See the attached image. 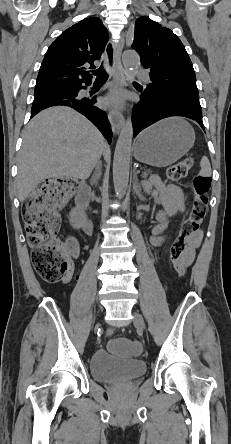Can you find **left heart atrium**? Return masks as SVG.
Segmentation results:
<instances>
[{"label": "left heart atrium", "instance_id": "39dd6f15", "mask_svg": "<svg viewBox=\"0 0 231 444\" xmlns=\"http://www.w3.org/2000/svg\"><path fill=\"white\" fill-rule=\"evenodd\" d=\"M124 100V93L122 91L116 90L104 98V103L112 107H120L123 105Z\"/></svg>", "mask_w": 231, "mask_h": 444}]
</instances>
